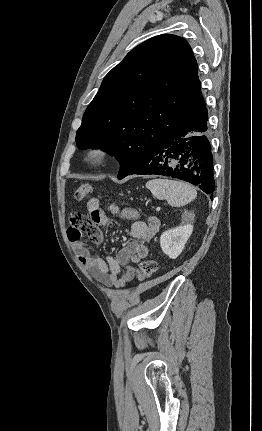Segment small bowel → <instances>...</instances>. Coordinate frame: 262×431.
Listing matches in <instances>:
<instances>
[{
  "label": "small bowel",
  "instance_id": "obj_1",
  "mask_svg": "<svg viewBox=\"0 0 262 431\" xmlns=\"http://www.w3.org/2000/svg\"><path fill=\"white\" fill-rule=\"evenodd\" d=\"M87 213L90 220L87 221L80 215L78 222L69 227L68 239L77 251L80 263L95 279L115 289L123 288L132 281L135 274L131 263L147 256V242L159 230L160 220L157 217H150L147 222H132L129 229L132 241L117 254L109 255L104 260L98 253L85 248L82 238L86 236L95 244L101 243L103 236L99 227H110L113 222L100 208L98 198H91L87 202ZM125 216L136 217V213L126 212Z\"/></svg>",
  "mask_w": 262,
  "mask_h": 431
}]
</instances>
